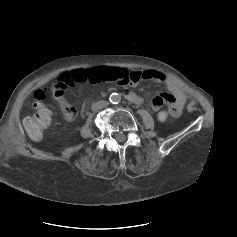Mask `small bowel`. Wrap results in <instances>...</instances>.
Masks as SVG:
<instances>
[{"mask_svg": "<svg viewBox=\"0 0 237 237\" xmlns=\"http://www.w3.org/2000/svg\"><path fill=\"white\" fill-rule=\"evenodd\" d=\"M133 73L137 77V80H151L155 83H164L166 85L168 92L159 93L152 99L151 108L153 109V111H159L161 107L166 104L172 116L178 117L181 115L186 103V99L178 86L173 81L166 79V77L162 73L154 70H138ZM56 97L64 109L66 102L63 96ZM128 98L131 101L138 100V97L133 93H130L128 95ZM64 116L67 120H71L74 118L75 114L69 115L64 111Z\"/></svg>", "mask_w": 237, "mask_h": 237, "instance_id": "c3829d8e", "label": "small bowel"}]
</instances>
